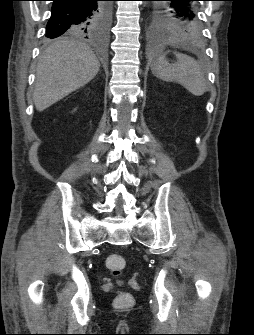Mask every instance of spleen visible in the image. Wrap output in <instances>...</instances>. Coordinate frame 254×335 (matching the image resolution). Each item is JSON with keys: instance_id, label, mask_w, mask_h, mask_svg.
I'll list each match as a JSON object with an SVG mask.
<instances>
[{"instance_id": "spleen-1", "label": "spleen", "mask_w": 254, "mask_h": 335, "mask_svg": "<svg viewBox=\"0 0 254 335\" xmlns=\"http://www.w3.org/2000/svg\"><path fill=\"white\" fill-rule=\"evenodd\" d=\"M174 45V42H170ZM166 53L161 49L153 62V73L163 81H176L195 96H201L206 92L207 82L200 65L192 57L185 54H177V61L170 64Z\"/></svg>"}]
</instances>
